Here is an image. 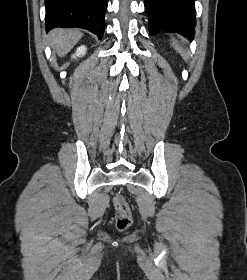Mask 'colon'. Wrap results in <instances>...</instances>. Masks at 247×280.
<instances>
[{
	"label": "colon",
	"mask_w": 247,
	"mask_h": 280,
	"mask_svg": "<svg viewBox=\"0 0 247 280\" xmlns=\"http://www.w3.org/2000/svg\"><path fill=\"white\" fill-rule=\"evenodd\" d=\"M114 207L117 210V227L119 229L127 228L131 223V211L129 204L121 193L114 197Z\"/></svg>",
	"instance_id": "5ec220e1"
}]
</instances>
